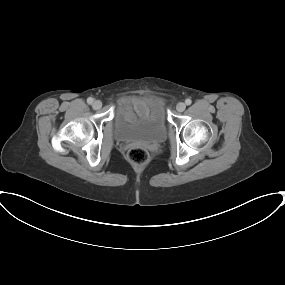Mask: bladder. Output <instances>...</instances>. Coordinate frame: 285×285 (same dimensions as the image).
I'll list each match as a JSON object with an SVG mask.
<instances>
[{"instance_id":"bladder-1","label":"bladder","mask_w":285,"mask_h":285,"mask_svg":"<svg viewBox=\"0 0 285 285\" xmlns=\"http://www.w3.org/2000/svg\"><path fill=\"white\" fill-rule=\"evenodd\" d=\"M114 121V135L120 142L157 144L166 139L165 109L157 99L151 100L144 110L134 109L132 101L124 102L118 107Z\"/></svg>"}]
</instances>
